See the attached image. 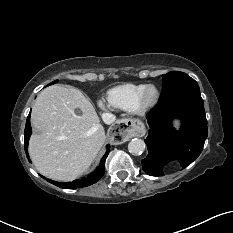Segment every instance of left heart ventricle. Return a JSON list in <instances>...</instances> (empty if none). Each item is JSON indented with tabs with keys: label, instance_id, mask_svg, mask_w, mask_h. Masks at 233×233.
Wrapping results in <instances>:
<instances>
[{
	"label": "left heart ventricle",
	"instance_id": "left-heart-ventricle-1",
	"mask_svg": "<svg viewBox=\"0 0 233 233\" xmlns=\"http://www.w3.org/2000/svg\"><path fill=\"white\" fill-rule=\"evenodd\" d=\"M155 96V92L153 89H149L147 92H146V100L147 101H151Z\"/></svg>",
	"mask_w": 233,
	"mask_h": 233
}]
</instances>
